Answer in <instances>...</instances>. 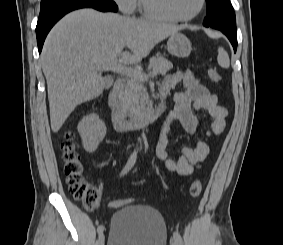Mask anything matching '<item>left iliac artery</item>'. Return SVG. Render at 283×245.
<instances>
[{
  "label": "left iliac artery",
  "instance_id": "left-iliac-artery-1",
  "mask_svg": "<svg viewBox=\"0 0 283 245\" xmlns=\"http://www.w3.org/2000/svg\"><path fill=\"white\" fill-rule=\"evenodd\" d=\"M173 238H174L175 241L178 243V245H182V244H183L181 235H180L178 232H174V233H173Z\"/></svg>",
  "mask_w": 283,
  "mask_h": 245
}]
</instances>
